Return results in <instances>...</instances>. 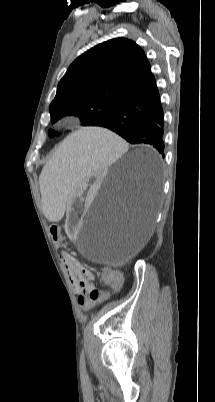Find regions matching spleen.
I'll list each match as a JSON object with an SVG mask.
<instances>
[{
    "label": "spleen",
    "instance_id": "3e777b00",
    "mask_svg": "<svg viewBox=\"0 0 215 402\" xmlns=\"http://www.w3.org/2000/svg\"><path fill=\"white\" fill-rule=\"evenodd\" d=\"M124 151V142L109 128H76L60 143L41 175L44 209L50 220H59L67 208V196L86 175L104 169Z\"/></svg>",
    "mask_w": 215,
    "mask_h": 402
}]
</instances>
